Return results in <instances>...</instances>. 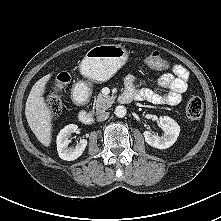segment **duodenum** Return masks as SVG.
<instances>
[{"instance_id": "obj_1", "label": "duodenum", "mask_w": 221, "mask_h": 221, "mask_svg": "<svg viewBox=\"0 0 221 221\" xmlns=\"http://www.w3.org/2000/svg\"><path fill=\"white\" fill-rule=\"evenodd\" d=\"M73 99L76 101V102H79L81 100V96L78 94V93H75L73 95ZM119 101L121 103H127L130 101V97L128 94L126 93H122L120 96H119ZM78 117H79V120L83 123V124H90L92 122V116H91V113L86 110V109H81L79 111V114H78Z\"/></svg>"}]
</instances>
